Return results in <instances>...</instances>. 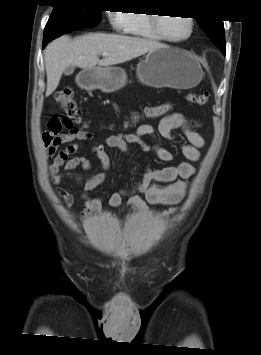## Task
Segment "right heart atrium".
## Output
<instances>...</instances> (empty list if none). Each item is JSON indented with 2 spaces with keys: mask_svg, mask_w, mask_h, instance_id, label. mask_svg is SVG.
Instances as JSON below:
<instances>
[{
  "mask_svg": "<svg viewBox=\"0 0 261 355\" xmlns=\"http://www.w3.org/2000/svg\"><path fill=\"white\" fill-rule=\"evenodd\" d=\"M112 27L118 32H126L129 25L128 13L125 11H110L108 13Z\"/></svg>",
  "mask_w": 261,
  "mask_h": 355,
  "instance_id": "obj_1",
  "label": "right heart atrium"
}]
</instances>
